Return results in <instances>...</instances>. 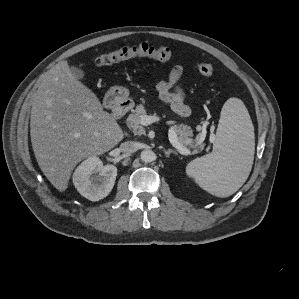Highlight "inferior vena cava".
Returning <instances> with one entry per match:
<instances>
[{"label": "inferior vena cava", "instance_id": "1", "mask_svg": "<svg viewBox=\"0 0 299 299\" xmlns=\"http://www.w3.org/2000/svg\"><path fill=\"white\" fill-rule=\"evenodd\" d=\"M138 149V145L134 141H126L121 143L120 150L124 153H133Z\"/></svg>", "mask_w": 299, "mask_h": 299}]
</instances>
